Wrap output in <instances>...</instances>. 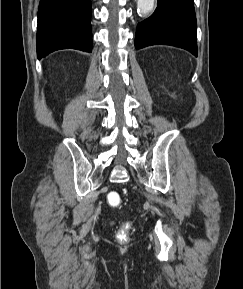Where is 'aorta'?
<instances>
[{
	"label": "aorta",
	"instance_id": "obj_1",
	"mask_svg": "<svg viewBox=\"0 0 243 289\" xmlns=\"http://www.w3.org/2000/svg\"><path fill=\"white\" fill-rule=\"evenodd\" d=\"M155 0H137V8L140 14L146 15L153 10Z\"/></svg>",
	"mask_w": 243,
	"mask_h": 289
}]
</instances>
